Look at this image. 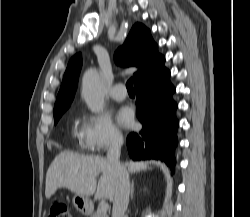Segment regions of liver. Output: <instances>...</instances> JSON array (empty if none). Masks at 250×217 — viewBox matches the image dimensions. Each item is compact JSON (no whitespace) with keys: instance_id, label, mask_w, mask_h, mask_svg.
<instances>
[{"instance_id":"obj_1","label":"liver","mask_w":250,"mask_h":217,"mask_svg":"<svg viewBox=\"0 0 250 217\" xmlns=\"http://www.w3.org/2000/svg\"><path fill=\"white\" fill-rule=\"evenodd\" d=\"M127 172L146 170L148 162L129 161L124 164ZM101 174L98 184L96 177ZM59 188L95 199L113 201L115 194L114 171L107 159L100 156H84L61 152L55 157L46 173L45 196L51 198Z\"/></svg>"}]
</instances>
